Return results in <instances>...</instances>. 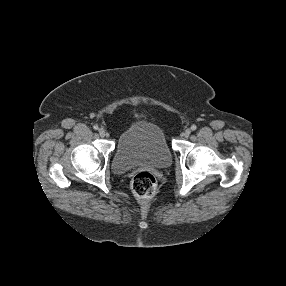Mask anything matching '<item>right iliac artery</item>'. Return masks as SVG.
<instances>
[{"mask_svg": "<svg viewBox=\"0 0 286 286\" xmlns=\"http://www.w3.org/2000/svg\"><path fill=\"white\" fill-rule=\"evenodd\" d=\"M93 128H94L95 130H98V129H99L98 125H94Z\"/></svg>", "mask_w": 286, "mask_h": 286, "instance_id": "82829eb1", "label": "right iliac artery"}]
</instances>
